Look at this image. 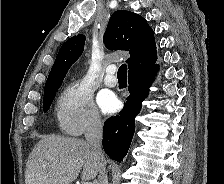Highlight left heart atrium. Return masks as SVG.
I'll list each match as a JSON object with an SVG mask.
<instances>
[{
	"instance_id": "1",
	"label": "left heart atrium",
	"mask_w": 224,
	"mask_h": 184,
	"mask_svg": "<svg viewBox=\"0 0 224 184\" xmlns=\"http://www.w3.org/2000/svg\"><path fill=\"white\" fill-rule=\"evenodd\" d=\"M99 105L104 113H113L118 109L119 101L113 94H103Z\"/></svg>"
}]
</instances>
